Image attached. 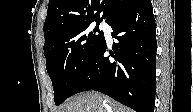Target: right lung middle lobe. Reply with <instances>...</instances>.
Masks as SVG:
<instances>
[{"instance_id":"1","label":"right lung middle lobe","mask_w":193,"mask_h":112,"mask_svg":"<svg viewBox=\"0 0 193 112\" xmlns=\"http://www.w3.org/2000/svg\"><path fill=\"white\" fill-rule=\"evenodd\" d=\"M99 23L78 24L56 33L44 44L47 73L56 105L64 102L104 39Z\"/></svg>"}]
</instances>
